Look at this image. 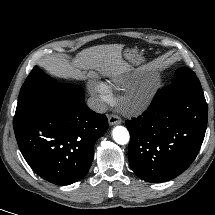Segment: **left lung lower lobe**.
<instances>
[{"mask_svg": "<svg viewBox=\"0 0 215 215\" xmlns=\"http://www.w3.org/2000/svg\"><path fill=\"white\" fill-rule=\"evenodd\" d=\"M131 169L147 182H165L196 158L207 127L202 90L171 84L159 89L142 115L126 121Z\"/></svg>", "mask_w": 215, "mask_h": 215, "instance_id": "left-lung-lower-lobe-1", "label": "left lung lower lobe"}]
</instances>
